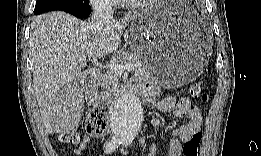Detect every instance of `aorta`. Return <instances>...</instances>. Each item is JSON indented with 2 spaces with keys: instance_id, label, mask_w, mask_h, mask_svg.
<instances>
[{
  "instance_id": "obj_1",
  "label": "aorta",
  "mask_w": 261,
  "mask_h": 156,
  "mask_svg": "<svg viewBox=\"0 0 261 156\" xmlns=\"http://www.w3.org/2000/svg\"><path fill=\"white\" fill-rule=\"evenodd\" d=\"M143 124V107L135 95H123L114 104L110 114V126L115 137L132 141Z\"/></svg>"
}]
</instances>
